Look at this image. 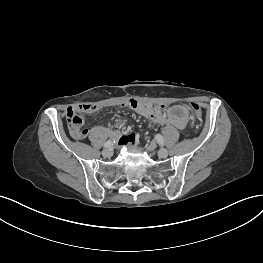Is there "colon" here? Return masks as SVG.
Listing matches in <instances>:
<instances>
[{"label":"colon","mask_w":263,"mask_h":263,"mask_svg":"<svg viewBox=\"0 0 263 263\" xmlns=\"http://www.w3.org/2000/svg\"><path fill=\"white\" fill-rule=\"evenodd\" d=\"M191 110L193 112L194 119L199 122L201 119V108L196 103H190ZM84 112L79 110H70L67 113V124L71 135L75 139H83L87 131L83 129Z\"/></svg>","instance_id":"5ec220e1"}]
</instances>
